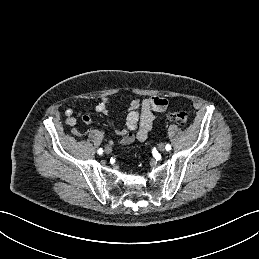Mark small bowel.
<instances>
[{"instance_id":"1","label":"small bowel","mask_w":259,"mask_h":259,"mask_svg":"<svg viewBox=\"0 0 259 259\" xmlns=\"http://www.w3.org/2000/svg\"><path fill=\"white\" fill-rule=\"evenodd\" d=\"M109 99L102 98L95 107L96 112L107 115L109 112ZM168 106L164 97L152 96L142 100H133L127 109L126 127L120 130V144L128 145L134 141H144L153 127L155 119L154 112H163ZM66 124L74 126L77 118L74 116L73 108H67L64 112ZM85 124L92 122L89 115L81 117Z\"/></svg>"}]
</instances>
